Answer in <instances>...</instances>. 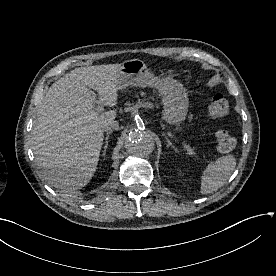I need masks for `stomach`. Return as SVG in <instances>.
Listing matches in <instances>:
<instances>
[{"mask_svg": "<svg viewBox=\"0 0 276 276\" xmlns=\"http://www.w3.org/2000/svg\"><path fill=\"white\" fill-rule=\"evenodd\" d=\"M152 87L162 96L163 119L172 125L182 123L188 112V97L184 86L172 76H157L140 59L123 62L118 71L117 87Z\"/></svg>", "mask_w": 276, "mask_h": 276, "instance_id": "1", "label": "stomach"}]
</instances>
